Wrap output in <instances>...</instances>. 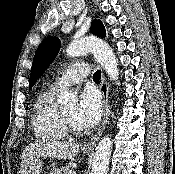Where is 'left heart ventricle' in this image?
I'll return each mask as SVG.
<instances>
[{"instance_id": "obj_1", "label": "left heart ventricle", "mask_w": 175, "mask_h": 174, "mask_svg": "<svg viewBox=\"0 0 175 174\" xmlns=\"http://www.w3.org/2000/svg\"><path fill=\"white\" fill-rule=\"evenodd\" d=\"M75 110H76V106L75 105H72V106H69L67 108H65L62 112L65 114V116L70 119V121L77 127V124L75 123V120H74V114H75Z\"/></svg>"}]
</instances>
